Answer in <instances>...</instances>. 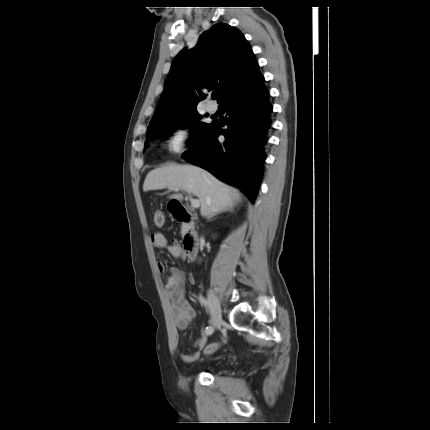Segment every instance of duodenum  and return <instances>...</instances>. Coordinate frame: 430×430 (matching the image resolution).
I'll list each match as a JSON object with an SVG mask.
<instances>
[{"instance_id":"1","label":"duodenum","mask_w":430,"mask_h":430,"mask_svg":"<svg viewBox=\"0 0 430 430\" xmlns=\"http://www.w3.org/2000/svg\"><path fill=\"white\" fill-rule=\"evenodd\" d=\"M171 213L185 228L183 249L189 259H194L198 252L199 239L194 230V217L183 204H174Z\"/></svg>"}]
</instances>
